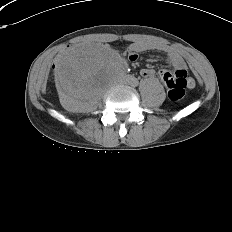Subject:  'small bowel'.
<instances>
[{"instance_id":"c3829d8e","label":"small bowel","mask_w":232,"mask_h":232,"mask_svg":"<svg viewBox=\"0 0 232 232\" xmlns=\"http://www.w3.org/2000/svg\"><path fill=\"white\" fill-rule=\"evenodd\" d=\"M129 52H131V60L135 61L136 56L134 54L158 50L167 53V62L172 65L175 70V75H185L187 76V67L186 64L179 53L178 50L164 46L158 42L145 41V40H136L132 42L128 47ZM141 75L146 79H151L154 76V71L151 69H142ZM159 76L163 82H165L168 78L172 77L173 74L166 70L162 69L159 71ZM191 79V78H190ZM192 80V79H191ZM194 86V81L192 80V84L190 87Z\"/></svg>"}]
</instances>
